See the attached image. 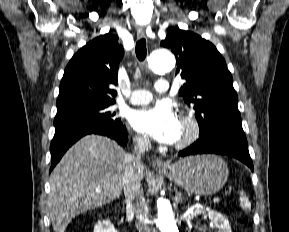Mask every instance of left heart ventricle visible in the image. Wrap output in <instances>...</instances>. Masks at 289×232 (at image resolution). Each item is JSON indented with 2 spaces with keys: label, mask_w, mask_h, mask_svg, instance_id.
Masks as SVG:
<instances>
[{
  "label": "left heart ventricle",
  "mask_w": 289,
  "mask_h": 232,
  "mask_svg": "<svg viewBox=\"0 0 289 232\" xmlns=\"http://www.w3.org/2000/svg\"><path fill=\"white\" fill-rule=\"evenodd\" d=\"M183 133H184V130H183V128L181 127V135H180V138L183 136ZM179 138V139H180Z\"/></svg>",
  "instance_id": "1"
}]
</instances>
